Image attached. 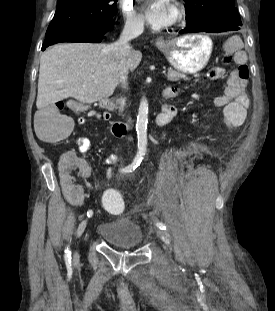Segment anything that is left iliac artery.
<instances>
[{"mask_svg":"<svg viewBox=\"0 0 275 311\" xmlns=\"http://www.w3.org/2000/svg\"><path fill=\"white\" fill-rule=\"evenodd\" d=\"M156 226L162 230H166V225L162 222H156Z\"/></svg>","mask_w":275,"mask_h":311,"instance_id":"1","label":"left iliac artery"}]
</instances>
